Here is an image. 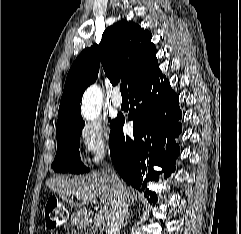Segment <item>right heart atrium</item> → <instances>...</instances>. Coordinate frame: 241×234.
Wrapping results in <instances>:
<instances>
[{
	"instance_id": "1",
	"label": "right heart atrium",
	"mask_w": 241,
	"mask_h": 234,
	"mask_svg": "<svg viewBox=\"0 0 241 234\" xmlns=\"http://www.w3.org/2000/svg\"><path fill=\"white\" fill-rule=\"evenodd\" d=\"M79 139L88 164L101 162L112 148L109 131L101 123H87L81 126Z\"/></svg>"
}]
</instances>
